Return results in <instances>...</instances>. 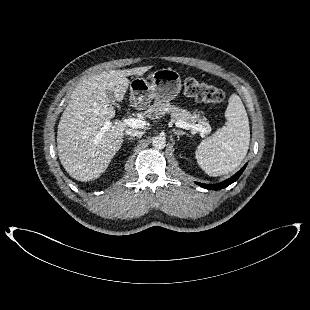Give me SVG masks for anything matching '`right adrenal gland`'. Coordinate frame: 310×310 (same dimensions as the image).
Returning a JSON list of instances; mask_svg holds the SVG:
<instances>
[{
	"instance_id": "right-adrenal-gland-1",
	"label": "right adrenal gland",
	"mask_w": 310,
	"mask_h": 310,
	"mask_svg": "<svg viewBox=\"0 0 310 310\" xmlns=\"http://www.w3.org/2000/svg\"><path fill=\"white\" fill-rule=\"evenodd\" d=\"M128 140H133L134 138H132V137H129V138H127Z\"/></svg>"
}]
</instances>
